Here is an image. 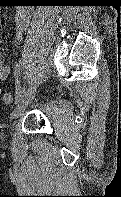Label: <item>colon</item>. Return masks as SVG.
Instances as JSON below:
<instances>
[{
    "label": "colon",
    "mask_w": 121,
    "mask_h": 197,
    "mask_svg": "<svg viewBox=\"0 0 121 197\" xmlns=\"http://www.w3.org/2000/svg\"><path fill=\"white\" fill-rule=\"evenodd\" d=\"M0 96H1L2 101L5 104H11L13 102V97L8 92H1V90H0Z\"/></svg>",
    "instance_id": "1"
}]
</instances>
